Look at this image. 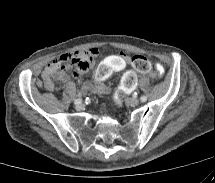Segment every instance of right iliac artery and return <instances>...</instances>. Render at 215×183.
Returning <instances> with one entry per match:
<instances>
[{
  "label": "right iliac artery",
  "mask_w": 215,
  "mask_h": 183,
  "mask_svg": "<svg viewBox=\"0 0 215 183\" xmlns=\"http://www.w3.org/2000/svg\"><path fill=\"white\" fill-rule=\"evenodd\" d=\"M80 103H82V100L80 98L76 99L75 102H74L75 105H78Z\"/></svg>",
  "instance_id": "right-iliac-artery-1"
}]
</instances>
